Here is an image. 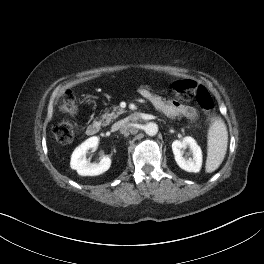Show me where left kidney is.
<instances>
[{
  "mask_svg": "<svg viewBox=\"0 0 264 264\" xmlns=\"http://www.w3.org/2000/svg\"><path fill=\"white\" fill-rule=\"evenodd\" d=\"M187 147L192 151L193 158L183 157V150ZM172 150L175 161L181 169L194 173L200 171L202 166V151L195 139L187 136L181 141L175 140L172 143Z\"/></svg>",
  "mask_w": 264,
  "mask_h": 264,
  "instance_id": "5707ae66",
  "label": "left kidney"
}]
</instances>
